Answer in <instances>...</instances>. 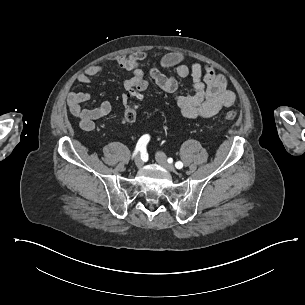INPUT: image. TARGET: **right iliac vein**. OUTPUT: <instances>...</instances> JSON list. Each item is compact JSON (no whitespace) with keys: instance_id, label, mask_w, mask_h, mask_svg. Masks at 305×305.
Returning <instances> with one entry per match:
<instances>
[{"instance_id":"right-iliac-vein-1","label":"right iliac vein","mask_w":305,"mask_h":305,"mask_svg":"<svg viewBox=\"0 0 305 305\" xmlns=\"http://www.w3.org/2000/svg\"><path fill=\"white\" fill-rule=\"evenodd\" d=\"M144 162L143 160L138 156L136 159H135V166L137 168H141L143 166Z\"/></svg>"}]
</instances>
